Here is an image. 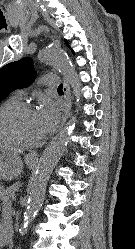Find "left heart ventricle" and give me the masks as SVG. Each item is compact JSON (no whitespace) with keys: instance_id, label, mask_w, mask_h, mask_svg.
Here are the masks:
<instances>
[{"instance_id":"1","label":"left heart ventricle","mask_w":135,"mask_h":249,"mask_svg":"<svg viewBox=\"0 0 135 249\" xmlns=\"http://www.w3.org/2000/svg\"><path fill=\"white\" fill-rule=\"evenodd\" d=\"M9 125L26 141H36L43 136L35 110L17 114L9 120Z\"/></svg>"}]
</instances>
